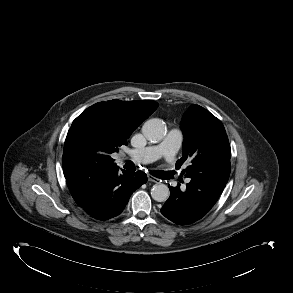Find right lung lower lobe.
<instances>
[{
	"mask_svg": "<svg viewBox=\"0 0 293 293\" xmlns=\"http://www.w3.org/2000/svg\"><path fill=\"white\" fill-rule=\"evenodd\" d=\"M147 182L144 172L134 173L119 168L100 172L82 184L81 196L83 199L91 198L94 202L105 203L110 210L104 215H91L98 220H107L118 216L129 201L131 194L142 184ZM86 196V197H85Z\"/></svg>",
	"mask_w": 293,
	"mask_h": 293,
	"instance_id": "98d812e1",
	"label": "right lung lower lobe"
}]
</instances>
